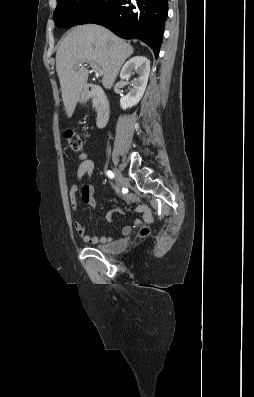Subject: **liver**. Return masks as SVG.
Listing matches in <instances>:
<instances>
[{"instance_id":"obj_1","label":"liver","mask_w":254,"mask_h":397,"mask_svg":"<svg viewBox=\"0 0 254 397\" xmlns=\"http://www.w3.org/2000/svg\"><path fill=\"white\" fill-rule=\"evenodd\" d=\"M133 52L129 43L104 27L87 24L73 28L56 53V71L67 117H72L88 79V70L77 68V64H98L103 69V86L111 89L121 66Z\"/></svg>"}]
</instances>
